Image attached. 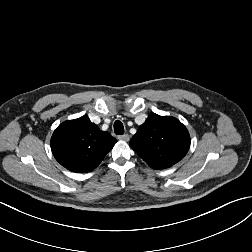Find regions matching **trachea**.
I'll return each instance as SVG.
<instances>
[{
	"instance_id": "obj_1",
	"label": "trachea",
	"mask_w": 252,
	"mask_h": 252,
	"mask_svg": "<svg viewBox=\"0 0 252 252\" xmlns=\"http://www.w3.org/2000/svg\"><path fill=\"white\" fill-rule=\"evenodd\" d=\"M114 132L116 135H123L124 134V126L121 121L116 120L114 122Z\"/></svg>"
}]
</instances>
